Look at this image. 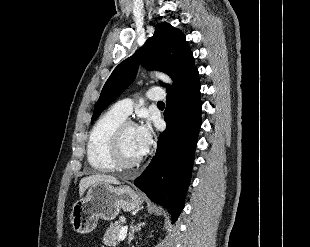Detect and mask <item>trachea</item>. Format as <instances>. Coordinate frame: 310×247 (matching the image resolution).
Wrapping results in <instances>:
<instances>
[{"instance_id":"3493384b","label":"trachea","mask_w":310,"mask_h":247,"mask_svg":"<svg viewBox=\"0 0 310 247\" xmlns=\"http://www.w3.org/2000/svg\"><path fill=\"white\" fill-rule=\"evenodd\" d=\"M158 105H164V103L160 101V102H158Z\"/></svg>"}]
</instances>
